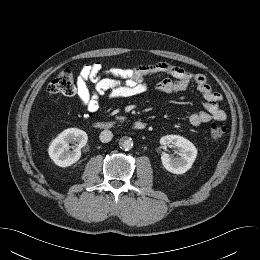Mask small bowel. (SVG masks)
Returning a JSON list of instances; mask_svg holds the SVG:
<instances>
[{"mask_svg": "<svg viewBox=\"0 0 260 260\" xmlns=\"http://www.w3.org/2000/svg\"><path fill=\"white\" fill-rule=\"evenodd\" d=\"M163 73L171 78L163 79L155 86L159 93L170 94L187 90L195 83L198 91L204 97V110L189 116V123L200 126L210 120L224 121L226 113L220 108L222 96L209 85L205 75L191 73L181 66L168 62L141 65L133 69L112 68L104 70L101 62L84 65L76 80L77 96L90 114L100 109L103 96L109 99L135 97L148 90L145 82L147 76ZM91 83L94 87H91Z\"/></svg>", "mask_w": 260, "mask_h": 260, "instance_id": "small-bowel-1", "label": "small bowel"}]
</instances>
